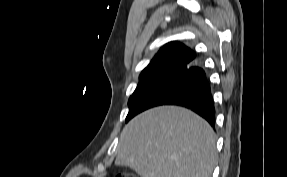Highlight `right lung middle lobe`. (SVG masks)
Returning <instances> with one entry per match:
<instances>
[{"mask_svg":"<svg viewBox=\"0 0 287 177\" xmlns=\"http://www.w3.org/2000/svg\"><path fill=\"white\" fill-rule=\"evenodd\" d=\"M179 66H181V62L178 60H167L148 65L139 76V83L129 98L128 106L131 107L157 79ZM132 115V112L128 113L126 122L131 119Z\"/></svg>","mask_w":287,"mask_h":177,"instance_id":"obj_1","label":"right lung middle lobe"}]
</instances>
